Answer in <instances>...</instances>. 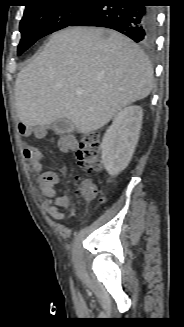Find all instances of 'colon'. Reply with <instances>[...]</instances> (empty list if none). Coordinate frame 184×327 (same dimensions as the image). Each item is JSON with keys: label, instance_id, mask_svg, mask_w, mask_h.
Here are the masks:
<instances>
[{"label": "colon", "instance_id": "5ec220e1", "mask_svg": "<svg viewBox=\"0 0 184 327\" xmlns=\"http://www.w3.org/2000/svg\"><path fill=\"white\" fill-rule=\"evenodd\" d=\"M100 149L97 133H88L79 140L76 158L83 171L94 173L101 170ZM97 194V188L88 180H82L76 188V195L85 200H92Z\"/></svg>", "mask_w": 184, "mask_h": 327}]
</instances>
